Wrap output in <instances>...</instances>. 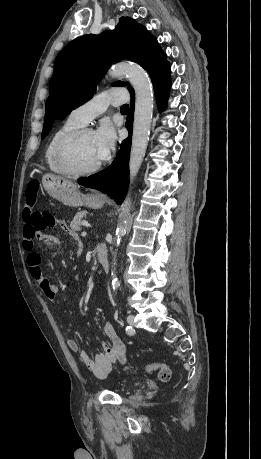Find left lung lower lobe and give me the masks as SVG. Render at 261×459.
Here are the masks:
<instances>
[{"label": "left lung lower lobe", "instance_id": "left-lung-lower-lobe-1", "mask_svg": "<svg viewBox=\"0 0 261 459\" xmlns=\"http://www.w3.org/2000/svg\"><path fill=\"white\" fill-rule=\"evenodd\" d=\"M171 69L170 65H166L157 72L151 79L159 110L166 106V100L171 86ZM131 93L130 112L127 116L126 124L129 131V137L125 139L120 147V150L112 162L105 170L90 176L89 178H80L78 183L88 188L97 189L113 198L116 203L121 204L128 187L129 175V153L131 148V133L134 114V91Z\"/></svg>", "mask_w": 261, "mask_h": 459}]
</instances>
